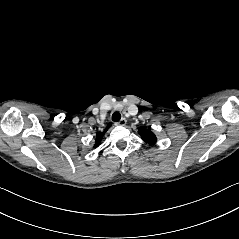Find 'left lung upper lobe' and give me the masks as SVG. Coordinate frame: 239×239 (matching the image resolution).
Returning a JSON list of instances; mask_svg holds the SVG:
<instances>
[{
  "label": "left lung upper lobe",
  "instance_id": "1",
  "mask_svg": "<svg viewBox=\"0 0 239 239\" xmlns=\"http://www.w3.org/2000/svg\"><path fill=\"white\" fill-rule=\"evenodd\" d=\"M138 133L141 138L149 145H154L157 141L155 134L150 129L139 128Z\"/></svg>",
  "mask_w": 239,
  "mask_h": 239
}]
</instances>
